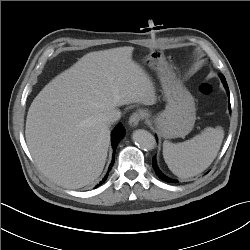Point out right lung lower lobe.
I'll return each instance as SVG.
<instances>
[{
  "label": "right lung lower lobe",
  "mask_w": 250,
  "mask_h": 250,
  "mask_svg": "<svg viewBox=\"0 0 250 250\" xmlns=\"http://www.w3.org/2000/svg\"><path fill=\"white\" fill-rule=\"evenodd\" d=\"M125 135V129L122 126V124H118L114 130L112 131V147L114 148V154H113V160L112 163L109 167V170L107 172V174L105 175V177L103 178V180L96 186L98 187L99 185H101L108 177L109 171L111 170L113 164H114V159H115V149L117 144L119 143V141L124 137Z\"/></svg>",
  "instance_id": "obj_1"
}]
</instances>
